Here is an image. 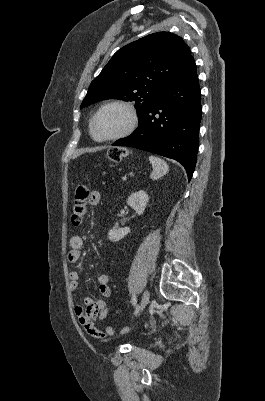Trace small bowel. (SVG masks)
Instances as JSON below:
<instances>
[{
	"mask_svg": "<svg viewBox=\"0 0 265 401\" xmlns=\"http://www.w3.org/2000/svg\"><path fill=\"white\" fill-rule=\"evenodd\" d=\"M101 195L97 191H93L89 197V205L97 206L100 203ZM70 250L67 259L70 263H77L81 257V250L84 246V240L80 235H73L69 240ZM70 288L77 289L79 282V274L77 271L69 273ZM110 276L107 273H102L97 276L98 291L100 295L107 298L111 295V288L109 285ZM85 308L82 306H75L74 312L80 322L85 328L88 323L94 325L96 319H104L107 317L109 308L103 299H94L92 297L84 298ZM105 337H102L103 339Z\"/></svg>",
	"mask_w": 265,
	"mask_h": 401,
	"instance_id": "1",
	"label": "small bowel"
}]
</instances>
